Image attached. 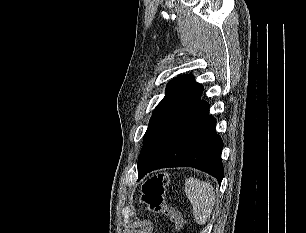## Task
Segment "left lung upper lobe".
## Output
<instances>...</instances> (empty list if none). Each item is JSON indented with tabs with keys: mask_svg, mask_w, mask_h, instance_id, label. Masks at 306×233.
I'll return each instance as SVG.
<instances>
[{
	"mask_svg": "<svg viewBox=\"0 0 306 233\" xmlns=\"http://www.w3.org/2000/svg\"><path fill=\"white\" fill-rule=\"evenodd\" d=\"M202 92L203 86L193 80L192 74L178 76L168 83L165 97L155 108L144 135L138 169L161 138L200 101Z\"/></svg>",
	"mask_w": 306,
	"mask_h": 233,
	"instance_id": "5c2ea615",
	"label": "left lung upper lobe"
}]
</instances>
